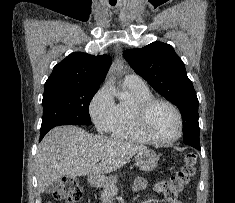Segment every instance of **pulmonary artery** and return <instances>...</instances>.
I'll return each instance as SVG.
<instances>
[{
    "label": "pulmonary artery",
    "mask_w": 235,
    "mask_h": 203,
    "mask_svg": "<svg viewBox=\"0 0 235 203\" xmlns=\"http://www.w3.org/2000/svg\"><path fill=\"white\" fill-rule=\"evenodd\" d=\"M124 83L128 85L137 86V87L146 86L144 81L138 75H135V74L126 75L124 78Z\"/></svg>",
    "instance_id": "e3ab8cb5"
}]
</instances>
